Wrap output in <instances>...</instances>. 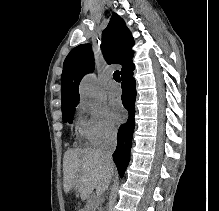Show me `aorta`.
Wrapping results in <instances>:
<instances>
[{
	"instance_id": "obj_1",
	"label": "aorta",
	"mask_w": 219,
	"mask_h": 211,
	"mask_svg": "<svg viewBox=\"0 0 219 211\" xmlns=\"http://www.w3.org/2000/svg\"><path fill=\"white\" fill-rule=\"evenodd\" d=\"M81 98L89 104H96L101 99V91L93 75L85 76L79 86ZM104 210V209H102Z\"/></svg>"
}]
</instances>
